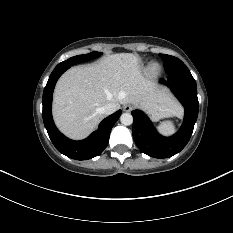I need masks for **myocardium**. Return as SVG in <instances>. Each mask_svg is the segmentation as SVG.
I'll return each mask as SVG.
<instances>
[{
    "label": "myocardium",
    "instance_id": "obj_1",
    "mask_svg": "<svg viewBox=\"0 0 233 233\" xmlns=\"http://www.w3.org/2000/svg\"><path fill=\"white\" fill-rule=\"evenodd\" d=\"M159 69H160V66H159V64L156 63V62H152V63L150 64V66H149V70H150V72H152V73H157V72L159 71Z\"/></svg>",
    "mask_w": 233,
    "mask_h": 233
}]
</instances>
